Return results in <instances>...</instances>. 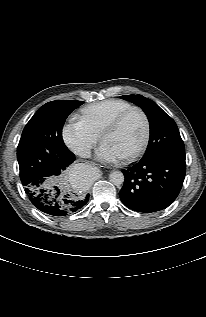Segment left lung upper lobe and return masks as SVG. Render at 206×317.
Listing matches in <instances>:
<instances>
[{
  "label": "left lung upper lobe",
  "mask_w": 206,
  "mask_h": 317,
  "mask_svg": "<svg viewBox=\"0 0 206 317\" xmlns=\"http://www.w3.org/2000/svg\"><path fill=\"white\" fill-rule=\"evenodd\" d=\"M122 99L140 106L150 124V139L143 158L173 156L185 159L184 143L174 120L155 102L142 95H124Z\"/></svg>",
  "instance_id": "obj_1"
}]
</instances>
